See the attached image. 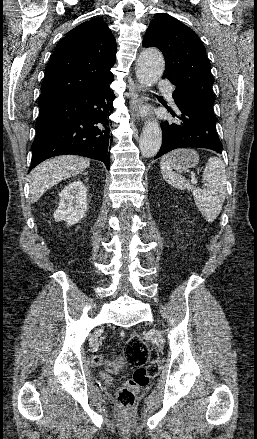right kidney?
<instances>
[{"label": "right kidney", "instance_id": "1", "mask_svg": "<svg viewBox=\"0 0 257 439\" xmlns=\"http://www.w3.org/2000/svg\"><path fill=\"white\" fill-rule=\"evenodd\" d=\"M60 202L54 212L56 222L65 221L68 226L80 222L88 208L87 187L82 181H73L59 193Z\"/></svg>", "mask_w": 257, "mask_h": 439}]
</instances>
